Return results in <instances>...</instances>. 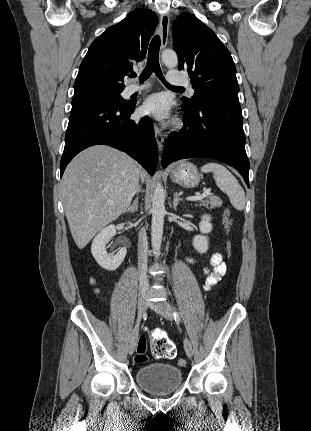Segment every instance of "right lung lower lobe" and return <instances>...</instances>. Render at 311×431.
<instances>
[{
  "instance_id": "98d812e1",
  "label": "right lung lower lobe",
  "mask_w": 311,
  "mask_h": 431,
  "mask_svg": "<svg viewBox=\"0 0 311 431\" xmlns=\"http://www.w3.org/2000/svg\"><path fill=\"white\" fill-rule=\"evenodd\" d=\"M134 108L135 102L129 106L87 103L72 107L60 161V177L76 154L97 144L126 152L153 175L157 164L153 124L148 117L137 122L131 120L129 117Z\"/></svg>"
}]
</instances>
